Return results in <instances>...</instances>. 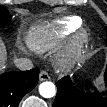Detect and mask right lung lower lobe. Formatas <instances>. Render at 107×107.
<instances>
[{"instance_id": "1", "label": "right lung lower lobe", "mask_w": 107, "mask_h": 107, "mask_svg": "<svg viewBox=\"0 0 107 107\" xmlns=\"http://www.w3.org/2000/svg\"><path fill=\"white\" fill-rule=\"evenodd\" d=\"M39 69L0 75V107H18L25 94L37 85Z\"/></svg>"}]
</instances>
